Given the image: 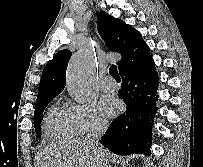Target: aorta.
Instances as JSON below:
<instances>
[{
	"label": "aorta",
	"instance_id": "aorta-1",
	"mask_svg": "<svg viewBox=\"0 0 203 167\" xmlns=\"http://www.w3.org/2000/svg\"><path fill=\"white\" fill-rule=\"evenodd\" d=\"M94 56L88 50H80L69 62L66 86L70 95L78 102H87L92 94L91 79Z\"/></svg>",
	"mask_w": 203,
	"mask_h": 167
}]
</instances>
